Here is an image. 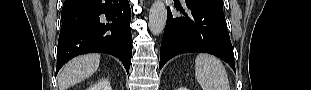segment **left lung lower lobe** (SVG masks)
I'll return each mask as SVG.
<instances>
[{"label":"left lung lower lobe","instance_id":"1","mask_svg":"<svg viewBox=\"0 0 311 90\" xmlns=\"http://www.w3.org/2000/svg\"><path fill=\"white\" fill-rule=\"evenodd\" d=\"M189 14L176 6L185 17L173 16L167 8V23L160 49L161 69L172 57L189 52L213 54L227 62L235 71L233 48L223 11L186 0Z\"/></svg>","mask_w":311,"mask_h":90}]
</instances>
